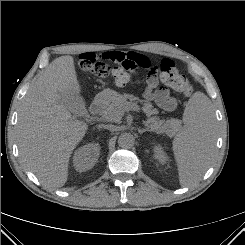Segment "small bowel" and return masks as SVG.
I'll use <instances>...</instances> for the list:
<instances>
[{
    "label": "small bowel",
    "mask_w": 245,
    "mask_h": 245,
    "mask_svg": "<svg viewBox=\"0 0 245 245\" xmlns=\"http://www.w3.org/2000/svg\"><path fill=\"white\" fill-rule=\"evenodd\" d=\"M99 56L105 61L114 63L121 61L123 58L130 57L136 60L141 68L150 67V60L146 56L133 52L123 53L118 51H111L99 54ZM144 96L147 100H153L160 108L166 111H172L177 106L176 99L171 96L168 89L157 88L155 79L149 80Z\"/></svg>",
    "instance_id": "1"
}]
</instances>
